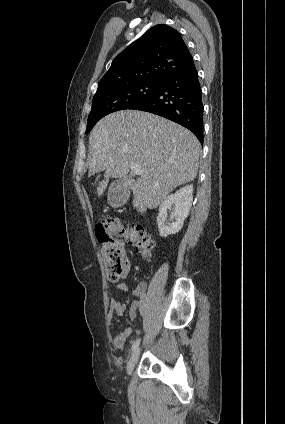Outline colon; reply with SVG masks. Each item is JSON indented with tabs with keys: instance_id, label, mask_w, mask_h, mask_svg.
Returning <instances> with one entry per match:
<instances>
[{
	"instance_id": "5ec220e1",
	"label": "colon",
	"mask_w": 285,
	"mask_h": 424,
	"mask_svg": "<svg viewBox=\"0 0 285 424\" xmlns=\"http://www.w3.org/2000/svg\"><path fill=\"white\" fill-rule=\"evenodd\" d=\"M95 235L102 245V255L109 279L117 280L124 273L127 253L119 238L135 246L145 257H152L155 242L142 226L128 225L116 217H102L95 225Z\"/></svg>"
}]
</instances>
